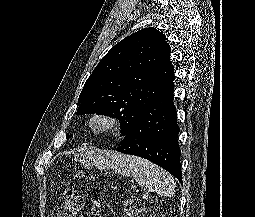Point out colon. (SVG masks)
I'll return each instance as SVG.
<instances>
[{
    "mask_svg": "<svg viewBox=\"0 0 255 217\" xmlns=\"http://www.w3.org/2000/svg\"><path fill=\"white\" fill-rule=\"evenodd\" d=\"M84 206V199L75 189H67L63 193L62 202L52 213V217H75V213ZM143 210V202L137 197L127 198L124 201V212L127 217H139Z\"/></svg>",
    "mask_w": 255,
    "mask_h": 217,
    "instance_id": "5ec220e1",
    "label": "colon"
}]
</instances>
